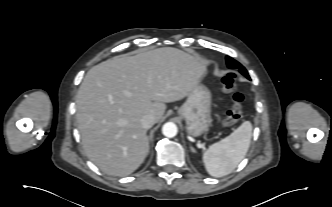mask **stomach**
<instances>
[{
	"label": "stomach",
	"instance_id": "obj_1",
	"mask_svg": "<svg viewBox=\"0 0 332 207\" xmlns=\"http://www.w3.org/2000/svg\"><path fill=\"white\" fill-rule=\"evenodd\" d=\"M178 114L185 120L189 135L197 137L207 131L212 122L209 89L201 83L195 85L179 108Z\"/></svg>",
	"mask_w": 332,
	"mask_h": 207
}]
</instances>
